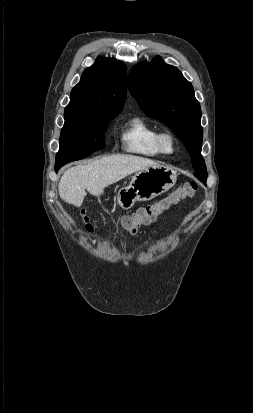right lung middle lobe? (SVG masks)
<instances>
[{"label":"right lung middle lobe","mask_w":253,"mask_h":413,"mask_svg":"<svg viewBox=\"0 0 253 413\" xmlns=\"http://www.w3.org/2000/svg\"><path fill=\"white\" fill-rule=\"evenodd\" d=\"M118 114H102L89 119L66 120L60 135L55 165H65L104 149L107 122Z\"/></svg>","instance_id":"1"}]
</instances>
